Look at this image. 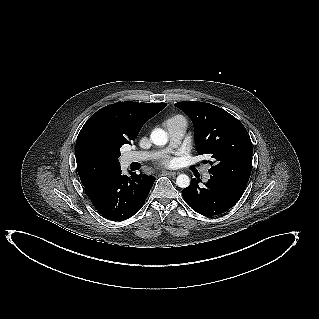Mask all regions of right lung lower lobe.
Returning <instances> with one entry per match:
<instances>
[{"instance_id": "right-lung-lower-lobe-1", "label": "right lung lower lobe", "mask_w": 319, "mask_h": 319, "mask_svg": "<svg viewBox=\"0 0 319 319\" xmlns=\"http://www.w3.org/2000/svg\"><path fill=\"white\" fill-rule=\"evenodd\" d=\"M154 181L153 176L144 174L123 176L119 168L85 186V191L103 217L122 221L141 209Z\"/></svg>"}]
</instances>
